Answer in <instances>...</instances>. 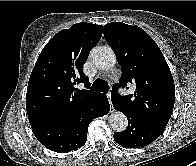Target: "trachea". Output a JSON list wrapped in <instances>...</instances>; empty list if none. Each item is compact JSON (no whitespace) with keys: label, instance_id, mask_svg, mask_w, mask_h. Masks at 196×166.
I'll return each instance as SVG.
<instances>
[{"label":"trachea","instance_id":"1","mask_svg":"<svg viewBox=\"0 0 196 166\" xmlns=\"http://www.w3.org/2000/svg\"><path fill=\"white\" fill-rule=\"evenodd\" d=\"M109 88L110 87L108 85V82L100 78L95 80L91 86L92 91H99L103 93H107L109 91Z\"/></svg>","mask_w":196,"mask_h":166}]
</instances>
